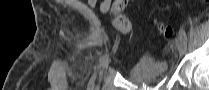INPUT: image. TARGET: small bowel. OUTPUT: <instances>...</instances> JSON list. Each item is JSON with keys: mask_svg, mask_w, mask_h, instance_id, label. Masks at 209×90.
<instances>
[{"mask_svg": "<svg viewBox=\"0 0 209 90\" xmlns=\"http://www.w3.org/2000/svg\"><path fill=\"white\" fill-rule=\"evenodd\" d=\"M88 5H89V7H91V8L95 7V5H96V0H89V1H88ZM110 5H111V1H109V0L103 1V2L101 3V5H100V11H101L102 13H107V12L109 11V9H110Z\"/></svg>", "mask_w": 209, "mask_h": 90, "instance_id": "obj_1", "label": "small bowel"}]
</instances>
